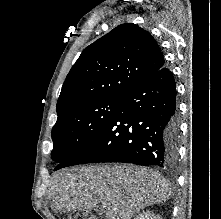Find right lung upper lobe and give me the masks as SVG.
I'll list each match as a JSON object with an SVG mask.
<instances>
[{
    "label": "right lung upper lobe",
    "instance_id": "1",
    "mask_svg": "<svg viewBox=\"0 0 221 219\" xmlns=\"http://www.w3.org/2000/svg\"><path fill=\"white\" fill-rule=\"evenodd\" d=\"M164 63L148 31L135 24L119 25L83 50L64 81L57 115L88 101L122 98Z\"/></svg>",
    "mask_w": 221,
    "mask_h": 219
}]
</instances>
